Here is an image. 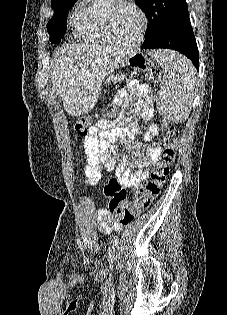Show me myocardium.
Masks as SVG:
<instances>
[{
    "mask_svg": "<svg viewBox=\"0 0 227 315\" xmlns=\"http://www.w3.org/2000/svg\"><path fill=\"white\" fill-rule=\"evenodd\" d=\"M123 5H128L132 8H134L138 14L141 17V29L139 32L138 37L129 43L121 42L117 39L115 29H114V18L116 15L117 10L119 7ZM148 16L146 12L133 0H112L111 3L107 6L106 12H105V28L107 31V34L111 40V43H115L120 46L124 47H135L139 45L142 40L144 39L147 27H148Z\"/></svg>",
    "mask_w": 227,
    "mask_h": 315,
    "instance_id": "obj_1",
    "label": "myocardium"
}]
</instances>
